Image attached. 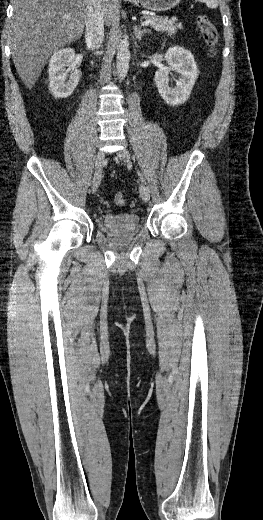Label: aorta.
<instances>
[{
	"mask_svg": "<svg viewBox=\"0 0 263 520\" xmlns=\"http://www.w3.org/2000/svg\"><path fill=\"white\" fill-rule=\"evenodd\" d=\"M130 51L125 41H121L117 57H116V69L119 79H124L127 76L129 70Z\"/></svg>",
	"mask_w": 263,
	"mask_h": 520,
	"instance_id": "1",
	"label": "aorta"
}]
</instances>
